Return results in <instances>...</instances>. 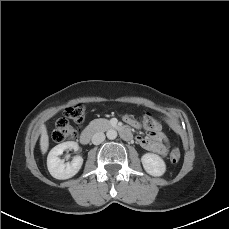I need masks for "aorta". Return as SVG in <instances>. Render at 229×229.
<instances>
[{
  "mask_svg": "<svg viewBox=\"0 0 229 229\" xmlns=\"http://www.w3.org/2000/svg\"><path fill=\"white\" fill-rule=\"evenodd\" d=\"M106 135L108 139L114 140L117 137V131L114 129H110L107 131Z\"/></svg>",
  "mask_w": 229,
  "mask_h": 229,
  "instance_id": "762f6f07",
  "label": "aorta"
}]
</instances>
